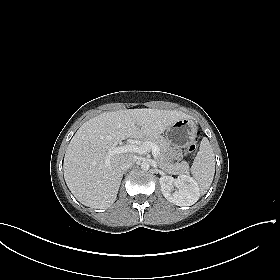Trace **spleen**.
<instances>
[{
    "mask_svg": "<svg viewBox=\"0 0 280 280\" xmlns=\"http://www.w3.org/2000/svg\"><path fill=\"white\" fill-rule=\"evenodd\" d=\"M191 172L199 185L200 193L202 195L205 194L212 184L215 173V157L209 140L206 137L200 143Z\"/></svg>",
    "mask_w": 280,
    "mask_h": 280,
    "instance_id": "spleen-1",
    "label": "spleen"
}]
</instances>
